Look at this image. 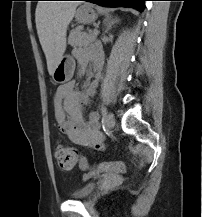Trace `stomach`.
I'll use <instances>...</instances> for the list:
<instances>
[{"instance_id":"obj_1","label":"stomach","mask_w":202,"mask_h":217,"mask_svg":"<svg viewBox=\"0 0 202 217\" xmlns=\"http://www.w3.org/2000/svg\"><path fill=\"white\" fill-rule=\"evenodd\" d=\"M75 18L79 23L89 24L95 21L97 13L91 5L79 7L75 13ZM75 64L72 58L63 57L56 66L52 78L56 83L63 84L73 77Z\"/></svg>"}]
</instances>
